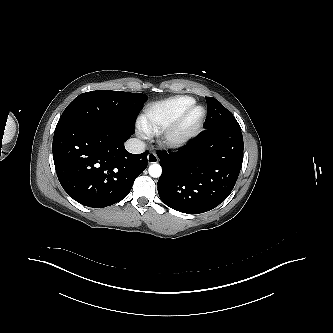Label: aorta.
Wrapping results in <instances>:
<instances>
[{
	"label": "aorta",
	"instance_id": "aorta-1",
	"mask_svg": "<svg viewBox=\"0 0 333 333\" xmlns=\"http://www.w3.org/2000/svg\"><path fill=\"white\" fill-rule=\"evenodd\" d=\"M149 175L153 178H157L162 174V168L159 164H152L148 169Z\"/></svg>",
	"mask_w": 333,
	"mask_h": 333
}]
</instances>
